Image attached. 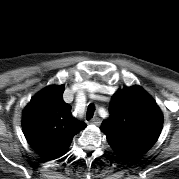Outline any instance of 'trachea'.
<instances>
[{
  "label": "trachea",
  "instance_id": "1",
  "mask_svg": "<svg viewBox=\"0 0 179 179\" xmlns=\"http://www.w3.org/2000/svg\"><path fill=\"white\" fill-rule=\"evenodd\" d=\"M94 111H95V106L93 103L89 104L88 109H87V113H86V119L90 120L93 115H94Z\"/></svg>",
  "mask_w": 179,
  "mask_h": 179
}]
</instances>
